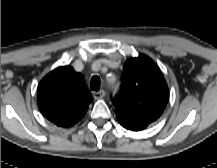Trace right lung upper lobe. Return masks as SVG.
<instances>
[{"mask_svg":"<svg viewBox=\"0 0 217 168\" xmlns=\"http://www.w3.org/2000/svg\"><path fill=\"white\" fill-rule=\"evenodd\" d=\"M92 102L81 73L62 66L47 74L37 89V103L42 114L60 127H70L85 115Z\"/></svg>","mask_w":217,"mask_h":168,"instance_id":"cb5924a9","label":"right lung upper lobe"}]
</instances>
